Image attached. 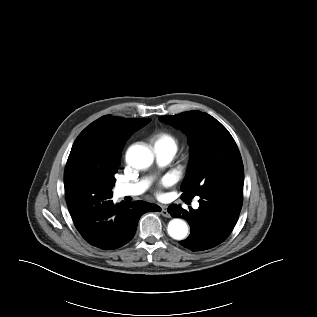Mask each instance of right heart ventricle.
<instances>
[{"mask_svg": "<svg viewBox=\"0 0 317 317\" xmlns=\"http://www.w3.org/2000/svg\"><path fill=\"white\" fill-rule=\"evenodd\" d=\"M154 146L161 148L177 149V139L168 132H160L153 137Z\"/></svg>", "mask_w": 317, "mask_h": 317, "instance_id": "right-heart-ventricle-1", "label": "right heart ventricle"}]
</instances>
